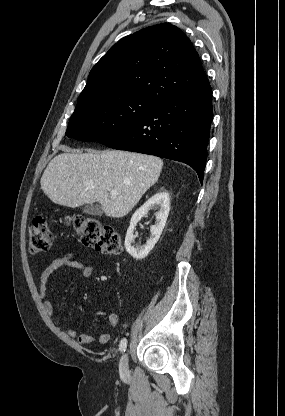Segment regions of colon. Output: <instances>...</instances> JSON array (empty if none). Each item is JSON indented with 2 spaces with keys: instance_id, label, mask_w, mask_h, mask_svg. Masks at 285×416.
I'll list each match as a JSON object with an SVG mask.
<instances>
[{
  "instance_id": "colon-1",
  "label": "colon",
  "mask_w": 285,
  "mask_h": 416,
  "mask_svg": "<svg viewBox=\"0 0 285 416\" xmlns=\"http://www.w3.org/2000/svg\"><path fill=\"white\" fill-rule=\"evenodd\" d=\"M68 224L78 234L85 246L111 255H119L123 251L120 234L111 226L104 225L92 217L74 216L67 219ZM53 233L48 220L38 217L34 220L28 233V248L31 253L38 254L50 249Z\"/></svg>"
}]
</instances>
